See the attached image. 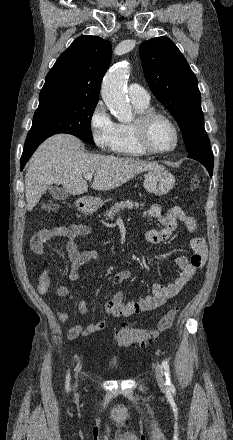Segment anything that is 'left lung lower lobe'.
Returning <instances> with one entry per match:
<instances>
[{
  "label": "left lung lower lobe",
  "instance_id": "0a47b994",
  "mask_svg": "<svg viewBox=\"0 0 233 440\" xmlns=\"http://www.w3.org/2000/svg\"><path fill=\"white\" fill-rule=\"evenodd\" d=\"M188 157L192 158L194 160H197L202 165H204L206 167V169L208 170L210 176L212 177L214 158H213V154H212L211 150L201 152L198 154H189Z\"/></svg>",
  "mask_w": 233,
  "mask_h": 440
}]
</instances>
